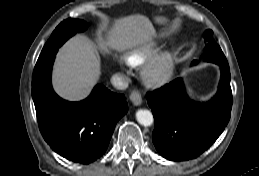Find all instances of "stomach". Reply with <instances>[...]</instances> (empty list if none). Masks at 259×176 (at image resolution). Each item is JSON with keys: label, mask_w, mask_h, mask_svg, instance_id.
Listing matches in <instances>:
<instances>
[{"label": "stomach", "mask_w": 259, "mask_h": 176, "mask_svg": "<svg viewBox=\"0 0 259 176\" xmlns=\"http://www.w3.org/2000/svg\"><path fill=\"white\" fill-rule=\"evenodd\" d=\"M157 20H158V22H162L163 21L161 18H158Z\"/></svg>", "instance_id": "0dacf381"}]
</instances>
